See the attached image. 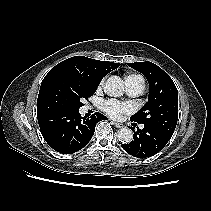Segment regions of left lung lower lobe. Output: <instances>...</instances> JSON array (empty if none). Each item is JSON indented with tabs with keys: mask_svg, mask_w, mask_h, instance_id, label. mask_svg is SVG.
<instances>
[{
	"mask_svg": "<svg viewBox=\"0 0 211 211\" xmlns=\"http://www.w3.org/2000/svg\"><path fill=\"white\" fill-rule=\"evenodd\" d=\"M131 129L134 131V128ZM170 138V135L144 125L143 129L137 127V131H134V140L129 144H122V148L134 157H151L161 151Z\"/></svg>",
	"mask_w": 211,
	"mask_h": 211,
	"instance_id": "1",
	"label": "left lung lower lobe"
}]
</instances>
